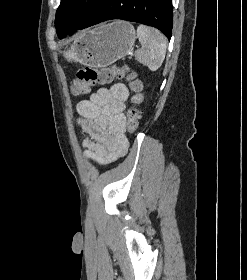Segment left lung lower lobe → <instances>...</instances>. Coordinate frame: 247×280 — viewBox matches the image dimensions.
<instances>
[{
	"label": "left lung lower lobe",
	"mask_w": 247,
	"mask_h": 280,
	"mask_svg": "<svg viewBox=\"0 0 247 280\" xmlns=\"http://www.w3.org/2000/svg\"><path fill=\"white\" fill-rule=\"evenodd\" d=\"M111 19H122L153 26L170 40L173 27L172 0H103L89 13L78 28L67 33L72 35L78 29Z\"/></svg>",
	"instance_id": "0a47b994"
}]
</instances>
